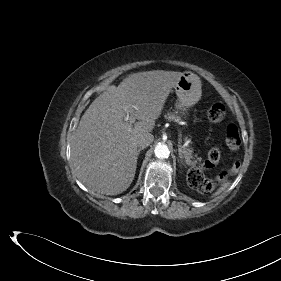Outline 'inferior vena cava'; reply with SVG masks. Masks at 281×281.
<instances>
[{
  "label": "inferior vena cava",
  "instance_id": "1",
  "mask_svg": "<svg viewBox=\"0 0 281 281\" xmlns=\"http://www.w3.org/2000/svg\"><path fill=\"white\" fill-rule=\"evenodd\" d=\"M153 140H154V136L151 133H145V134L140 135L137 138L136 142H137V146L140 149H144L147 146H149L153 142Z\"/></svg>",
  "mask_w": 281,
  "mask_h": 281
}]
</instances>
